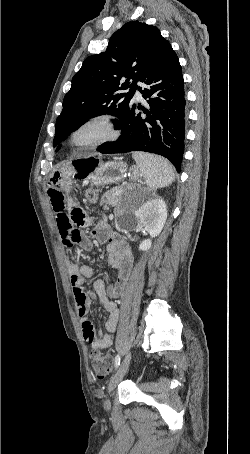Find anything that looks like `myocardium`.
Returning a JSON list of instances; mask_svg holds the SVG:
<instances>
[{"mask_svg":"<svg viewBox=\"0 0 250 454\" xmlns=\"http://www.w3.org/2000/svg\"><path fill=\"white\" fill-rule=\"evenodd\" d=\"M88 129H98L100 135L86 143L78 142V136ZM118 136L119 131L113 117L102 113L90 116L77 124L70 133L69 142L78 151H89L115 140Z\"/></svg>","mask_w":250,"mask_h":454,"instance_id":"myocardium-1","label":"myocardium"}]
</instances>
